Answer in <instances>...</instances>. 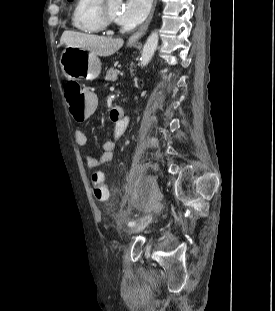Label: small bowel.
Wrapping results in <instances>:
<instances>
[{
  "instance_id": "obj_1",
  "label": "small bowel",
  "mask_w": 275,
  "mask_h": 311,
  "mask_svg": "<svg viewBox=\"0 0 275 311\" xmlns=\"http://www.w3.org/2000/svg\"><path fill=\"white\" fill-rule=\"evenodd\" d=\"M125 114V110L115 109L108 114V119H106L105 124L106 126H113L111 138L103 143L101 155H88L85 157V163L88 168L95 169L112 160L117 141L122 137L128 126V118L125 117ZM74 137L78 146L86 145L87 136L82 128H77L75 130Z\"/></svg>"
}]
</instances>
